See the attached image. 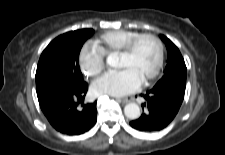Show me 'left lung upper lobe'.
I'll list each match as a JSON object with an SVG mask.
<instances>
[{
  "mask_svg": "<svg viewBox=\"0 0 225 155\" xmlns=\"http://www.w3.org/2000/svg\"><path fill=\"white\" fill-rule=\"evenodd\" d=\"M160 38L165 43L168 52L167 66L163 77L157 82L154 87H172V86H186V72L187 68L184 59L179 49L164 35Z\"/></svg>",
  "mask_w": 225,
  "mask_h": 155,
  "instance_id": "obj_1",
  "label": "left lung upper lobe"
}]
</instances>
